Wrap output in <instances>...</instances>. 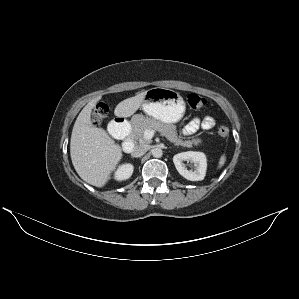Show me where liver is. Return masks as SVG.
I'll list each match as a JSON object with an SVG mask.
<instances>
[{"instance_id": "liver-1", "label": "liver", "mask_w": 299, "mask_h": 299, "mask_svg": "<svg viewBox=\"0 0 299 299\" xmlns=\"http://www.w3.org/2000/svg\"><path fill=\"white\" fill-rule=\"evenodd\" d=\"M146 91L121 101L118 117H130L142 105ZM101 96L91 100L79 113L71 135L70 155L78 175L87 183L103 187L122 158V149L107 132L91 122V111Z\"/></svg>"}]
</instances>
